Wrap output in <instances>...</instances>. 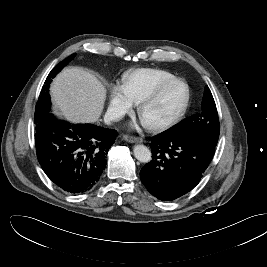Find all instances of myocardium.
<instances>
[{"label": "myocardium", "mask_w": 267, "mask_h": 267, "mask_svg": "<svg viewBox=\"0 0 267 267\" xmlns=\"http://www.w3.org/2000/svg\"><path fill=\"white\" fill-rule=\"evenodd\" d=\"M176 85H183L186 89V96L179 110L175 114H173L171 117L166 118L164 120H160L156 122H146L143 119L144 110L148 106L156 102L167 90H169L170 88ZM190 101H191V90H190L189 85L183 80L175 79L173 81H170V82H167L161 85L156 90H154L153 92H151L150 94L142 98L138 103L137 113L142 123L147 129L152 130V131H162V130H165V129H168L174 126L183 118V116L186 114L189 108Z\"/></svg>", "instance_id": "myocardium-1"}]
</instances>
